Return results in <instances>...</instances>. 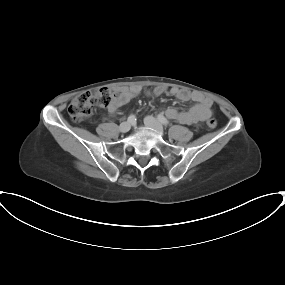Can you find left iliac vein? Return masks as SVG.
I'll return each instance as SVG.
<instances>
[{"mask_svg": "<svg viewBox=\"0 0 285 285\" xmlns=\"http://www.w3.org/2000/svg\"><path fill=\"white\" fill-rule=\"evenodd\" d=\"M144 123L148 128L156 131L157 133H160V134L163 133L162 125L154 117H152V116L145 117Z\"/></svg>", "mask_w": 285, "mask_h": 285, "instance_id": "4c4485c4", "label": "left iliac vein"}]
</instances>
